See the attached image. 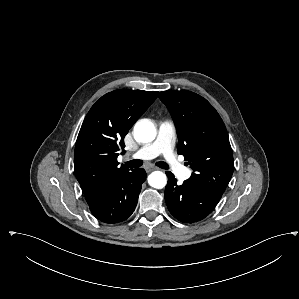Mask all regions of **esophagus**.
I'll list each match as a JSON object with an SVG mask.
<instances>
[{
    "label": "esophagus",
    "mask_w": 299,
    "mask_h": 299,
    "mask_svg": "<svg viewBox=\"0 0 299 299\" xmlns=\"http://www.w3.org/2000/svg\"><path fill=\"white\" fill-rule=\"evenodd\" d=\"M144 169H145V171H146L147 173H149V172H151V171H153V170H156L157 167H154V166H145Z\"/></svg>",
    "instance_id": "esophagus-1"
}]
</instances>
